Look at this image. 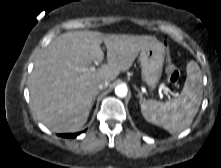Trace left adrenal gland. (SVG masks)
Wrapping results in <instances>:
<instances>
[{"label": "left adrenal gland", "mask_w": 221, "mask_h": 168, "mask_svg": "<svg viewBox=\"0 0 221 168\" xmlns=\"http://www.w3.org/2000/svg\"><path fill=\"white\" fill-rule=\"evenodd\" d=\"M135 89L138 91L137 97L140 99V103H141L144 100L143 96H142V93L140 92V90L138 88L135 87Z\"/></svg>", "instance_id": "1"}]
</instances>
